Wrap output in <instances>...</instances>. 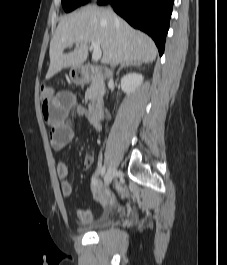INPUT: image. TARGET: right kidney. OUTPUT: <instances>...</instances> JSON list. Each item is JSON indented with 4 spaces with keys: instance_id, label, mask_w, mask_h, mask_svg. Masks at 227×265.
I'll list each match as a JSON object with an SVG mask.
<instances>
[{
    "instance_id": "right-kidney-1",
    "label": "right kidney",
    "mask_w": 227,
    "mask_h": 265,
    "mask_svg": "<svg viewBox=\"0 0 227 265\" xmlns=\"http://www.w3.org/2000/svg\"><path fill=\"white\" fill-rule=\"evenodd\" d=\"M143 76L138 73H128L121 79V88L126 94L134 93L135 90L142 84Z\"/></svg>"
}]
</instances>
